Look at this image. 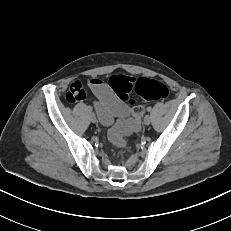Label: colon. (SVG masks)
<instances>
[{
  "instance_id": "1",
  "label": "colon",
  "mask_w": 231,
  "mask_h": 231,
  "mask_svg": "<svg viewBox=\"0 0 231 231\" xmlns=\"http://www.w3.org/2000/svg\"><path fill=\"white\" fill-rule=\"evenodd\" d=\"M109 87L122 100L133 106L132 119L114 126L109 132V140L117 147L126 145L125 136L134 132L139 127V120L143 114L135 100L129 98L134 91L141 100H164L169 95L168 87L157 80L150 78H134L127 75H114L109 80Z\"/></svg>"
}]
</instances>
